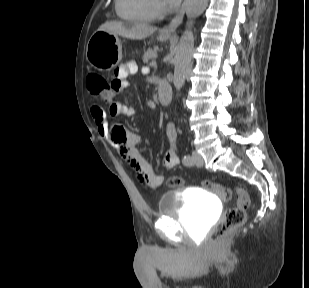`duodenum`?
<instances>
[{"label":"duodenum","instance_id":"1","mask_svg":"<svg viewBox=\"0 0 309 288\" xmlns=\"http://www.w3.org/2000/svg\"><path fill=\"white\" fill-rule=\"evenodd\" d=\"M172 90L171 87L165 83L161 82L159 84L158 98L159 102L163 106H168L172 102Z\"/></svg>","mask_w":309,"mask_h":288}]
</instances>
